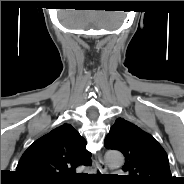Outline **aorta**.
Wrapping results in <instances>:
<instances>
[{
    "label": "aorta",
    "mask_w": 184,
    "mask_h": 184,
    "mask_svg": "<svg viewBox=\"0 0 184 184\" xmlns=\"http://www.w3.org/2000/svg\"><path fill=\"white\" fill-rule=\"evenodd\" d=\"M105 160L108 166L111 168H119L124 163V157L122 153L118 151H108L105 154Z\"/></svg>",
    "instance_id": "1"
}]
</instances>
